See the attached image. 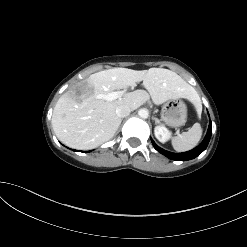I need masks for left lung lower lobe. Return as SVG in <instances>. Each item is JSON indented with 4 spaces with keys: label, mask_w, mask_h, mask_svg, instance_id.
<instances>
[{
    "label": "left lung lower lobe",
    "mask_w": 247,
    "mask_h": 247,
    "mask_svg": "<svg viewBox=\"0 0 247 247\" xmlns=\"http://www.w3.org/2000/svg\"><path fill=\"white\" fill-rule=\"evenodd\" d=\"M211 134H212V126H211V121H210L207 134H206L204 140L200 143V145H198L193 150L183 152V153H172V152L166 151V150L160 148L159 146H157L156 143L152 139H151V141H152L154 148L158 152H160L161 154L165 155L166 157H168L172 160H176V161H187V160H191V159L196 158L198 155H200L207 148L208 143H209L210 138H211Z\"/></svg>",
    "instance_id": "left-lung-lower-lobe-1"
}]
</instances>
